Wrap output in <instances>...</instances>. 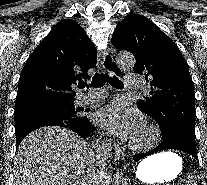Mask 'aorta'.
I'll use <instances>...</instances> for the list:
<instances>
[{
  "mask_svg": "<svg viewBox=\"0 0 207 185\" xmlns=\"http://www.w3.org/2000/svg\"><path fill=\"white\" fill-rule=\"evenodd\" d=\"M117 62L122 69H131L135 65V58L131 53H121L117 56ZM113 185H128L127 166L124 160L118 163L116 173L113 177Z\"/></svg>",
  "mask_w": 207,
  "mask_h": 185,
  "instance_id": "obj_1",
  "label": "aorta"
}]
</instances>
